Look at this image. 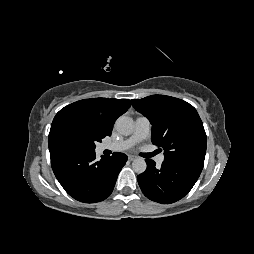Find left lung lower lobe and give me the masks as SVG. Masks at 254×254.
I'll list each match as a JSON object with an SVG mask.
<instances>
[{
  "instance_id": "obj_1",
  "label": "left lung lower lobe",
  "mask_w": 254,
  "mask_h": 254,
  "mask_svg": "<svg viewBox=\"0 0 254 254\" xmlns=\"http://www.w3.org/2000/svg\"><path fill=\"white\" fill-rule=\"evenodd\" d=\"M147 169L137 176L143 194L152 201L169 204L183 198L192 189L203 165L182 160H164L160 169L146 159Z\"/></svg>"
}]
</instances>
